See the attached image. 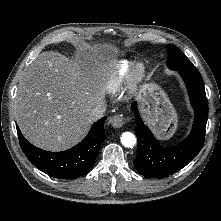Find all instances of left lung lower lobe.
I'll use <instances>...</instances> for the list:
<instances>
[{"label":"left lung lower lobe","mask_w":221,"mask_h":221,"mask_svg":"<svg viewBox=\"0 0 221 221\" xmlns=\"http://www.w3.org/2000/svg\"><path fill=\"white\" fill-rule=\"evenodd\" d=\"M178 71L186 83L191 104L195 110L192 131L183 142L171 148L161 147L140 118L137 103L134 102L131 106L135 113L137 124L135 134L138 140L134 165L143 176L162 178L171 175L185 167L197 156L203 146L208 116L203 81L196 67Z\"/></svg>","instance_id":"1"}]
</instances>
